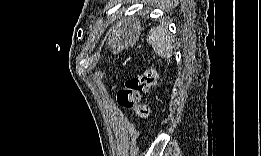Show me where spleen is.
I'll return each instance as SVG.
<instances>
[{"label":"spleen","mask_w":261,"mask_h":156,"mask_svg":"<svg viewBox=\"0 0 261 156\" xmlns=\"http://www.w3.org/2000/svg\"><path fill=\"white\" fill-rule=\"evenodd\" d=\"M156 54L164 58H170L173 51L171 36L166 25H159L151 29L147 38Z\"/></svg>","instance_id":"spleen-1"}]
</instances>
